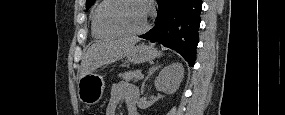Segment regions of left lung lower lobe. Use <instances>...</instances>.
Masks as SVG:
<instances>
[{
	"instance_id": "obj_1",
	"label": "left lung lower lobe",
	"mask_w": 285,
	"mask_h": 115,
	"mask_svg": "<svg viewBox=\"0 0 285 115\" xmlns=\"http://www.w3.org/2000/svg\"><path fill=\"white\" fill-rule=\"evenodd\" d=\"M155 26L141 38L159 42L180 53L193 66L199 41L201 0H157Z\"/></svg>"
}]
</instances>
